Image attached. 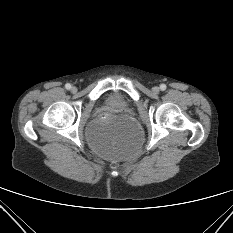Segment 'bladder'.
I'll use <instances>...</instances> for the list:
<instances>
[{"label": "bladder", "instance_id": "1", "mask_svg": "<svg viewBox=\"0 0 233 233\" xmlns=\"http://www.w3.org/2000/svg\"><path fill=\"white\" fill-rule=\"evenodd\" d=\"M107 103L114 107H125L128 100L120 94H112ZM93 150L105 159H125L137 151L141 132L135 122L121 121L119 124H106L88 135Z\"/></svg>", "mask_w": 233, "mask_h": 233}]
</instances>
